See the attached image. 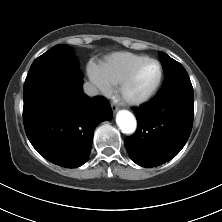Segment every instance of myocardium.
Here are the masks:
<instances>
[{
  "label": "myocardium",
  "instance_id": "f54148a6",
  "mask_svg": "<svg viewBox=\"0 0 222 222\" xmlns=\"http://www.w3.org/2000/svg\"><path fill=\"white\" fill-rule=\"evenodd\" d=\"M148 62L155 63L158 67V78H157L155 84L149 90V92L147 94H145L144 96L137 98V99L127 98L125 96L126 89L132 83V81L134 80L138 71ZM162 79H163V69H162V65L160 64V62L157 61L156 59H153V58H146V59L140 61L139 63H137L129 71V73L122 79V81L118 84L117 94L121 98V100L124 101L126 104H128L130 106H140V105L147 103L148 101H150L152 99V97L155 95V93L159 89V87L162 83Z\"/></svg>",
  "mask_w": 222,
  "mask_h": 222
}]
</instances>
